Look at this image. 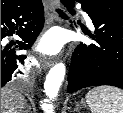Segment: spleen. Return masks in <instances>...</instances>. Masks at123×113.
<instances>
[{
	"mask_svg": "<svg viewBox=\"0 0 123 113\" xmlns=\"http://www.w3.org/2000/svg\"><path fill=\"white\" fill-rule=\"evenodd\" d=\"M92 113H123V90L112 86H100L86 95Z\"/></svg>",
	"mask_w": 123,
	"mask_h": 113,
	"instance_id": "3e777b00",
	"label": "spleen"
}]
</instances>
